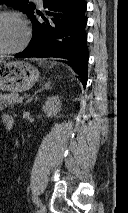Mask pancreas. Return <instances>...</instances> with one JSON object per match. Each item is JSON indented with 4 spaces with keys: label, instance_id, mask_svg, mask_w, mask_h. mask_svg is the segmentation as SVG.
<instances>
[{
    "label": "pancreas",
    "instance_id": "cf45deb5",
    "mask_svg": "<svg viewBox=\"0 0 128 213\" xmlns=\"http://www.w3.org/2000/svg\"><path fill=\"white\" fill-rule=\"evenodd\" d=\"M21 103L20 97L16 93L0 94V105L2 107H13L14 105Z\"/></svg>",
    "mask_w": 128,
    "mask_h": 213
}]
</instances>
